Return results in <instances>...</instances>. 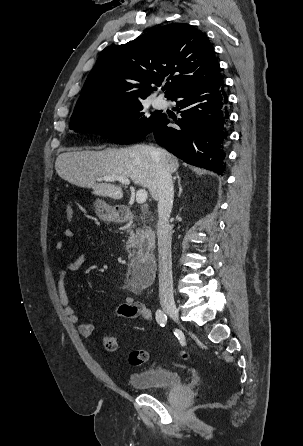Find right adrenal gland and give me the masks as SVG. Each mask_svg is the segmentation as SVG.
I'll use <instances>...</instances> for the list:
<instances>
[{
	"label": "right adrenal gland",
	"mask_w": 303,
	"mask_h": 446,
	"mask_svg": "<svg viewBox=\"0 0 303 446\" xmlns=\"http://www.w3.org/2000/svg\"><path fill=\"white\" fill-rule=\"evenodd\" d=\"M174 179L178 180V187H179L178 197H180L183 189H182V185H181V178H180V175L178 172L176 173Z\"/></svg>",
	"instance_id": "obj_1"
}]
</instances>
